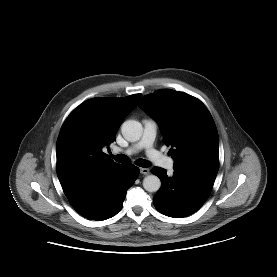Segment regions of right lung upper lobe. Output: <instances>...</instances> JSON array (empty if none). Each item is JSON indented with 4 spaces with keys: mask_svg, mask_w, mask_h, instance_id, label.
<instances>
[{
    "mask_svg": "<svg viewBox=\"0 0 277 277\" xmlns=\"http://www.w3.org/2000/svg\"><path fill=\"white\" fill-rule=\"evenodd\" d=\"M141 96L92 98L71 112L56 145L57 175L64 191L117 164L102 148L115 140L122 121Z\"/></svg>",
    "mask_w": 277,
    "mask_h": 277,
    "instance_id": "obj_1",
    "label": "right lung upper lobe"
}]
</instances>
